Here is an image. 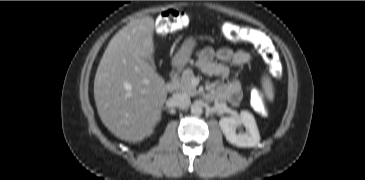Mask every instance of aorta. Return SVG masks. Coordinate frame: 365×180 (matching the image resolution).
I'll return each instance as SVG.
<instances>
[{
    "instance_id": "1",
    "label": "aorta",
    "mask_w": 365,
    "mask_h": 180,
    "mask_svg": "<svg viewBox=\"0 0 365 180\" xmlns=\"http://www.w3.org/2000/svg\"><path fill=\"white\" fill-rule=\"evenodd\" d=\"M203 112V108L200 104L195 103L191 106V113L195 116L201 115Z\"/></svg>"
}]
</instances>
